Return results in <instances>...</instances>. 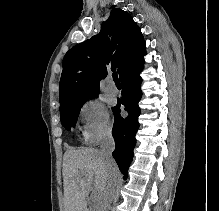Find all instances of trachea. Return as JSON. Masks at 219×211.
Instances as JSON below:
<instances>
[{
	"label": "trachea",
	"mask_w": 219,
	"mask_h": 211,
	"mask_svg": "<svg viewBox=\"0 0 219 211\" xmlns=\"http://www.w3.org/2000/svg\"><path fill=\"white\" fill-rule=\"evenodd\" d=\"M112 77H113V80H114L115 84L121 86V82H120V80H119V78L117 76V73L115 71L112 74Z\"/></svg>",
	"instance_id": "trachea-1"
}]
</instances>
